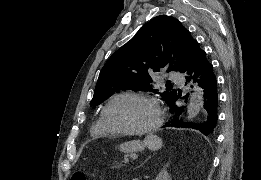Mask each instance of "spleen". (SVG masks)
Segmentation results:
<instances>
[{"mask_svg":"<svg viewBox=\"0 0 261 180\" xmlns=\"http://www.w3.org/2000/svg\"><path fill=\"white\" fill-rule=\"evenodd\" d=\"M148 140H155L154 136H148V138H146L145 142H148ZM159 142H161V140H159Z\"/></svg>","mask_w":261,"mask_h":180,"instance_id":"1","label":"spleen"}]
</instances>
